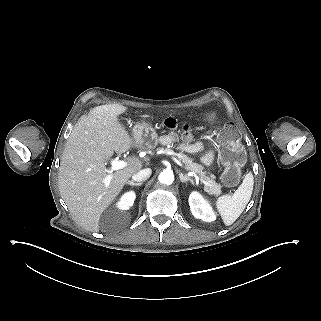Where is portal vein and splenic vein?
<instances>
[{
  "label": "portal vein and splenic vein",
  "mask_w": 321,
  "mask_h": 321,
  "mask_svg": "<svg viewBox=\"0 0 321 321\" xmlns=\"http://www.w3.org/2000/svg\"><path fill=\"white\" fill-rule=\"evenodd\" d=\"M171 159H173L174 162L177 163L178 166H181L182 169H185V166L182 165V163H180L179 160H177L176 158H174V156H171ZM127 165L126 162L124 161H121V160H113L111 162V170L109 171V175H107V177L105 178V184L106 185H109L110 181L112 180V175L111 173L115 170H119V169H122L124 168L125 166Z\"/></svg>",
  "instance_id": "portal-vein-and-splenic-vein-1"
}]
</instances>
